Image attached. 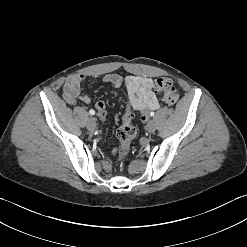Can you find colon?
I'll use <instances>...</instances> for the list:
<instances>
[{"label": "colon", "instance_id": "colon-1", "mask_svg": "<svg viewBox=\"0 0 247 247\" xmlns=\"http://www.w3.org/2000/svg\"><path fill=\"white\" fill-rule=\"evenodd\" d=\"M109 81L112 83L114 88H119V92L121 94H126L128 92V87L126 85H122V81L116 73H111L109 75ZM156 87L166 104L175 105L177 103L179 94L170 79L165 77L159 78L156 82ZM132 118V110L128 105L123 116V123L117 130V138L120 142V146L115 150V154L117 155L118 162L120 164L126 160L130 149V144L137 135V129L132 124Z\"/></svg>", "mask_w": 247, "mask_h": 247}]
</instances>
